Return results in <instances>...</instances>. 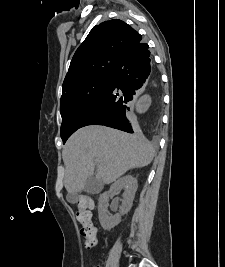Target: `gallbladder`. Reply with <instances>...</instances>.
I'll return each instance as SVG.
<instances>
[{
	"label": "gallbladder",
	"instance_id": "bac80fb5",
	"mask_svg": "<svg viewBox=\"0 0 225 267\" xmlns=\"http://www.w3.org/2000/svg\"><path fill=\"white\" fill-rule=\"evenodd\" d=\"M102 189V183L95 176H90L85 182L84 190L90 193H97ZM67 201L74 204L77 201V193H68Z\"/></svg>",
	"mask_w": 225,
	"mask_h": 267
}]
</instances>
